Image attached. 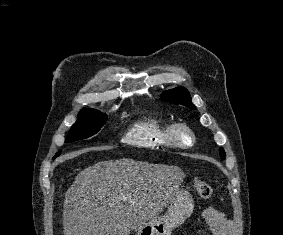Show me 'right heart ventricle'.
Masks as SVG:
<instances>
[{"mask_svg":"<svg viewBox=\"0 0 283 235\" xmlns=\"http://www.w3.org/2000/svg\"><path fill=\"white\" fill-rule=\"evenodd\" d=\"M171 126L169 121L147 117L129 128L125 141L146 149L170 148L173 147L170 139Z\"/></svg>","mask_w":283,"mask_h":235,"instance_id":"1","label":"right heart ventricle"}]
</instances>
